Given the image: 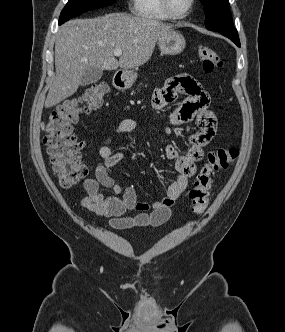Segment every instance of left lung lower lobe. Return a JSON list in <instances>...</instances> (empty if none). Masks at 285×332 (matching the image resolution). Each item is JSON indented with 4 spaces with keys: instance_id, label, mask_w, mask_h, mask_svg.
<instances>
[{
    "instance_id": "obj_1",
    "label": "left lung lower lobe",
    "mask_w": 285,
    "mask_h": 332,
    "mask_svg": "<svg viewBox=\"0 0 285 332\" xmlns=\"http://www.w3.org/2000/svg\"><path fill=\"white\" fill-rule=\"evenodd\" d=\"M228 38H230L237 46H240V41H239V37L237 36H232V35H225Z\"/></svg>"
}]
</instances>
